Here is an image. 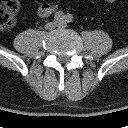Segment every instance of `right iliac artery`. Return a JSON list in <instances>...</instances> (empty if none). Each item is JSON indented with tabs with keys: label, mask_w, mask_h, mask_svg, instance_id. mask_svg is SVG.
I'll use <instances>...</instances> for the list:
<instances>
[{
	"label": "right iliac artery",
	"mask_w": 128,
	"mask_h": 128,
	"mask_svg": "<svg viewBox=\"0 0 128 128\" xmlns=\"http://www.w3.org/2000/svg\"><path fill=\"white\" fill-rule=\"evenodd\" d=\"M65 18V14L62 11H58L54 14V19L57 21L63 20Z\"/></svg>",
	"instance_id": "82829eb1"
}]
</instances>
